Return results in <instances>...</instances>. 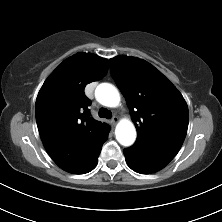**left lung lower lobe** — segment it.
Masks as SVG:
<instances>
[{"label": "left lung lower lobe", "instance_id": "1", "mask_svg": "<svg viewBox=\"0 0 222 222\" xmlns=\"http://www.w3.org/2000/svg\"><path fill=\"white\" fill-rule=\"evenodd\" d=\"M124 155H125V159H126L127 164L135 172L142 173V174H149V173H153V172H156L159 170V169L153 168L149 165H146L142 162H139L126 154H124Z\"/></svg>", "mask_w": 222, "mask_h": 222}]
</instances>
